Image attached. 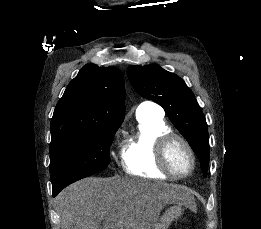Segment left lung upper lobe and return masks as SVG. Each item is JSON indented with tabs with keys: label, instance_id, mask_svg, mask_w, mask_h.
<instances>
[{
	"label": "left lung upper lobe",
	"instance_id": "5c2ea615",
	"mask_svg": "<svg viewBox=\"0 0 261 229\" xmlns=\"http://www.w3.org/2000/svg\"><path fill=\"white\" fill-rule=\"evenodd\" d=\"M127 75L139 95L163 107L200 159L201 169L206 172L209 164L208 128L204 114L185 82L158 65H130Z\"/></svg>",
	"mask_w": 261,
	"mask_h": 229
}]
</instances>
